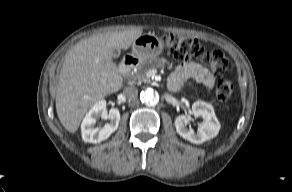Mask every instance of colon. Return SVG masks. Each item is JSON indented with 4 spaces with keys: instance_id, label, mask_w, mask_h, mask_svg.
<instances>
[{
    "instance_id": "colon-1",
    "label": "colon",
    "mask_w": 292,
    "mask_h": 192,
    "mask_svg": "<svg viewBox=\"0 0 292 192\" xmlns=\"http://www.w3.org/2000/svg\"><path fill=\"white\" fill-rule=\"evenodd\" d=\"M163 44L179 62L187 63L193 59L200 60L209 71L218 77L216 96L219 100H227L233 93V83L222 75L229 71L232 63L221 49L207 50L199 41L177 33L164 34Z\"/></svg>"
}]
</instances>
